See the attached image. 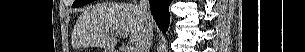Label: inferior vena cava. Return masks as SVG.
Masks as SVG:
<instances>
[{
  "label": "inferior vena cava",
  "instance_id": "inferior-vena-cava-1",
  "mask_svg": "<svg viewBox=\"0 0 305 52\" xmlns=\"http://www.w3.org/2000/svg\"><path fill=\"white\" fill-rule=\"evenodd\" d=\"M137 7L140 19L144 25V33L135 46V52H150V46L153 39V19L150 11L149 0H140Z\"/></svg>",
  "mask_w": 305,
  "mask_h": 52
}]
</instances>
